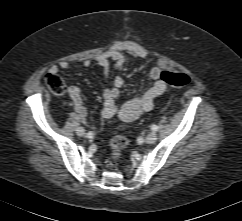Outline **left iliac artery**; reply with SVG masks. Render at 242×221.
<instances>
[{
	"instance_id": "1",
	"label": "left iliac artery",
	"mask_w": 242,
	"mask_h": 221,
	"mask_svg": "<svg viewBox=\"0 0 242 221\" xmlns=\"http://www.w3.org/2000/svg\"><path fill=\"white\" fill-rule=\"evenodd\" d=\"M151 129H152L153 131H157V130H158V126H156V125H152V126H151Z\"/></svg>"
}]
</instances>
